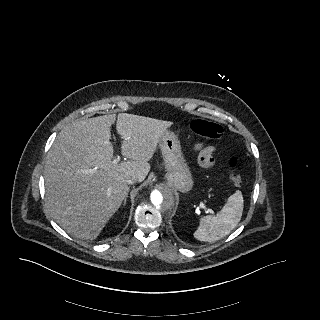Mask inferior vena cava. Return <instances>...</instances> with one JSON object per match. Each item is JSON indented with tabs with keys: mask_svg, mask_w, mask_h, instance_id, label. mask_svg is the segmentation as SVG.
<instances>
[{
	"mask_svg": "<svg viewBox=\"0 0 320 320\" xmlns=\"http://www.w3.org/2000/svg\"><path fill=\"white\" fill-rule=\"evenodd\" d=\"M126 182L128 184H134L137 182V177L136 176H129L127 179H126Z\"/></svg>",
	"mask_w": 320,
	"mask_h": 320,
	"instance_id": "602c4592",
	"label": "inferior vena cava"
}]
</instances>
